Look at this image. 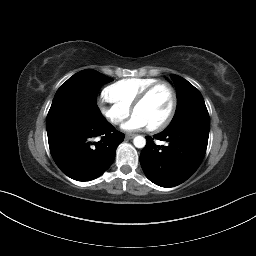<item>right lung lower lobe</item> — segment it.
Segmentation results:
<instances>
[{"mask_svg": "<svg viewBox=\"0 0 256 256\" xmlns=\"http://www.w3.org/2000/svg\"><path fill=\"white\" fill-rule=\"evenodd\" d=\"M53 160L68 177L90 181L99 177L114 161L124 140L102 115L57 114L46 120ZM101 136V140L93 139Z\"/></svg>", "mask_w": 256, "mask_h": 256, "instance_id": "right-lung-lower-lobe-1", "label": "right lung lower lobe"}]
</instances>
